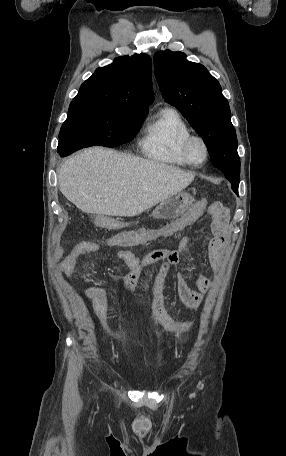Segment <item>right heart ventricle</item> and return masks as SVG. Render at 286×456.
I'll return each mask as SVG.
<instances>
[{"label": "right heart ventricle", "mask_w": 286, "mask_h": 456, "mask_svg": "<svg viewBox=\"0 0 286 456\" xmlns=\"http://www.w3.org/2000/svg\"><path fill=\"white\" fill-rule=\"evenodd\" d=\"M190 129L179 112L162 109L145 128L140 140L143 155L151 161L173 166H187L181 153V142Z\"/></svg>", "instance_id": "right-heart-ventricle-1"}]
</instances>
